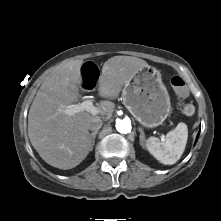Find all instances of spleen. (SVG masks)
I'll list each match as a JSON object with an SVG mask.
<instances>
[{"label": "spleen", "instance_id": "1", "mask_svg": "<svg viewBox=\"0 0 221 221\" xmlns=\"http://www.w3.org/2000/svg\"><path fill=\"white\" fill-rule=\"evenodd\" d=\"M187 139V125L180 122L175 129L167 133L163 141L156 137H149L146 148L160 163L173 165L181 158Z\"/></svg>", "mask_w": 221, "mask_h": 221}]
</instances>
